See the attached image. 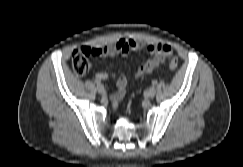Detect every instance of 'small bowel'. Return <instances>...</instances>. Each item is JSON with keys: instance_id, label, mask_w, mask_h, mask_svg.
I'll return each mask as SVG.
<instances>
[{"instance_id": "obj_1", "label": "small bowel", "mask_w": 243, "mask_h": 167, "mask_svg": "<svg viewBox=\"0 0 243 167\" xmlns=\"http://www.w3.org/2000/svg\"><path fill=\"white\" fill-rule=\"evenodd\" d=\"M92 49L93 56H126L130 50L144 51L151 55V57L140 65L135 73V77L151 74L160 64L167 58L172 56V48L164 43H142L134 39H119L116 43L106 47H94ZM96 80L105 81L108 79L106 72H98L95 75ZM128 86L127 78L121 74L117 79V91L112 94L113 105L116 106L118 102L124 97Z\"/></svg>"}]
</instances>
